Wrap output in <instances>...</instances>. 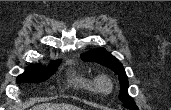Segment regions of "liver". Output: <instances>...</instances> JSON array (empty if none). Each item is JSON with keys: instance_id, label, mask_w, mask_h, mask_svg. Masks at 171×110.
Wrapping results in <instances>:
<instances>
[{"instance_id": "obj_1", "label": "liver", "mask_w": 171, "mask_h": 110, "mask_svg": "<svg viewBox=\"0 0 171 110\" xmlns=\"http://www.w3.org/2000/svg\"><path fill=\"white\" fill-rule=\"evenodd\" d=\"M31 110H81V108L70 104H63V103L62 104L44 103L34 106Z\"/></svg>"}]
</instances>
